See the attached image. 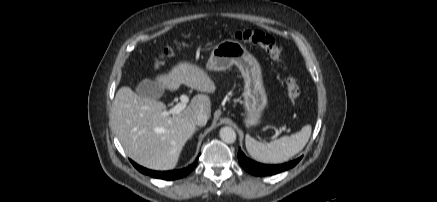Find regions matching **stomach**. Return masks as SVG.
Segmentation results:
<instances>
[{"instance_id":"1","label":"stomach","mask_w":437,"mask_h":202,"mask_svg":"<svg viewBox=\"0 0 437 202\" xmlns=\"http://www.w3.org/2000/svg\"><path fill=\"white\" fill-rule=\"evenodd\" d=\"M233 64L244 79V124L247 128L259 126L268 105V97L257 59L240 42L224 40L213 48L206 67L208 70L225 71Z\"/></svg>"}]
</instances>
